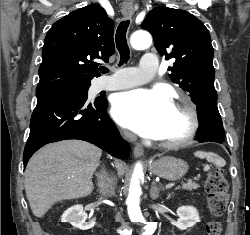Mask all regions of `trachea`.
<instances>
[{
	"label": "trachea",
	"instance_id": "1",
	"mask_svg": "<svg viewBox=\"0 0 250 235\" xmlns=\"http://www.w3.org/2000/svg\"><path fill=\"white\" fill-rule=\"evenodd\" d=\"M128 26H129V20H125L119 24L116 30V36H115L116 47L120 54L119 66L124 63H127V61L129 60L130 52H129V47H128V43L126 39V32H127ZM99 70L101 73L108 72V69L106 67H100Z\"/></svg>",
	"mask_w": 250,
	"mask_h": 235
}]
</instances>
